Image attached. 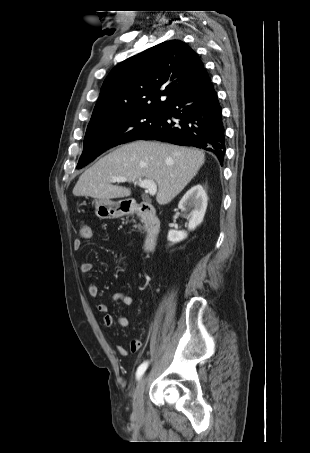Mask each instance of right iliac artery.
Wrapping results in <instances>:
<instances>
[{
  "instance_id": "82829eb1",
  "label": "right iliac artery",
  "mask_w": 310,
  "mask_h": 453,
  "mask_svg": "<svg viewBox=\"0 0 310 453\" xmlns=\"http://www.w3.org/2000/svg\"><path fill=\"white\" fill-rule=\"evenodd\" d=\"M148 367V362H143L137 369L136 377L139 380Z\"/></svg>"
}]
</instances>
